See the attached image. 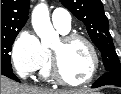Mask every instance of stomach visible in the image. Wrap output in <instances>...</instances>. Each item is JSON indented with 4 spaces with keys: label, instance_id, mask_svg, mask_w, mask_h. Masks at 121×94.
Segmentation results:
<instances>
[{
    "label": "stomach",
    "instance_id": "stomach-1",
    "mask_svg": "<svg viewBox=\"0 0 121 94\" xmlns=\"http://www.w3.org/2000/svg\"><path fill=\"white\" fill-rule=\"evenodd\" d=\"M88 94H100V93H88Z\"/></svg>",
    "mask_w": 121,
    "mask_h": 94
}]
</instances>
